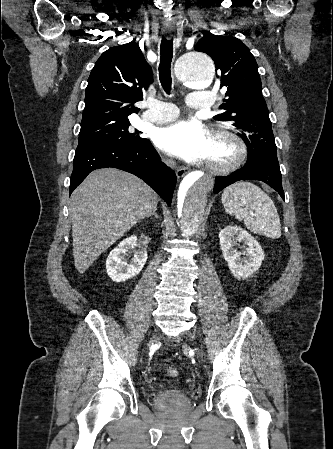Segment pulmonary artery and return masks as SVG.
Returning a JSON list of instances; mask_svg holds the SVG:
<instances>
[{
	"label": "pulmonary artery",
	"mask_w": 333,
	"mask_h": 449,
	"mask_svg": "<svg viewBox=\"0 0 333 449\" xmlns=\"http://www.w3.org/2000/svg\"><path fill=\"white\" fill-rule=\"evenodd\" d=\"M215 97L211 92L196 90L189 94L187 104L193 109H207L214 105ZM147 110L142 114L145 121L164 123L175 119L179 110L176 105L162 101H150Z\"/></svg>",
	"instance_id": "obj_1"
}]
</instances>
